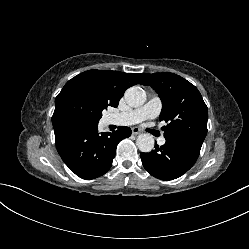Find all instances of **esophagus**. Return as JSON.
Returning <instances> with one entry per match:
<instances>
[{
    "label": "esophagus",
    "instance_id": "esophagus-1",
    "mask_svg": "<svg viewBox=\"0 0 249 249\" xmlns=\"http://www.w3.org/2000/svg\"><path fill=\"white\" fill-rule=\"evenodd\" d=\"M132 134L133 135L141 134V130L138 127H133L132 128Z\"/></svg>",
    "mask_w": 249,
    "mask_h": 249
}]
</instances>
